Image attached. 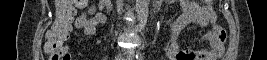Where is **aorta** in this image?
<instances>
[{
	"instance_id": "obj_1",
	"label": "aorta",
	"mask_w": 267,
	"mask_h": 60,
	"mask_svg": "<svg viewBox=\"0 0 267 60\" xmlns=\"http://www.w3.org/2000/svg\"><path fill=\"white\" fill-rule=\"evenodd\" d=\"M135 9L139 19V26L142 28L147 23L148 0H135Z\"/></svg>"
}]
</instances>
